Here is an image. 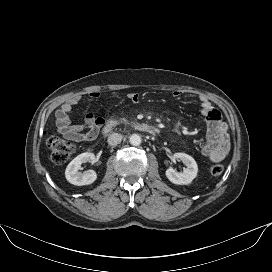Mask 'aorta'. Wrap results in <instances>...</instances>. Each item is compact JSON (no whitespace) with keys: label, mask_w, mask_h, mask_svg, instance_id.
I'll return each instance as SVG.
<instances>
[{"label":"aorta","mask_w":272,"mask_h":272,"mask_svg":"<svg viewBox=\"0 0 272 272\" xmlns=\"http://www.w3.org/2000/svg\"><path fill=\"white\" fill-rule=\"evenodd\" d=\"M129 141L131 145L139 146L142 142V139L138 134H132L129 138Z\"/></svg>","instance_id":"obj_1"}]
</instances>
